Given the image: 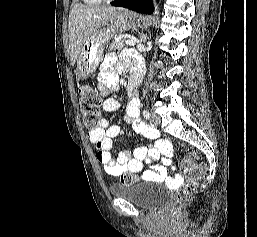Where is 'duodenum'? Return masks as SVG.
<instances>
[{
  "mask_svg": "<svg viewBox=\"0 0 257 237\" xmlns=\"http://www.w3.org/2000/svg\"><path fill=\"white\" fill-rule=\"evenodd\" d=\"M139 79H140V71H139V68L136 66L131 69V77L127 86L128 94L131 98L135 97V87Z\"/></svg>",
  "mask_w": 257,
  "mask_h": 237,
  "instance_id": "duodenum-1",
  "label": "duodenum"
}]
</instances>
